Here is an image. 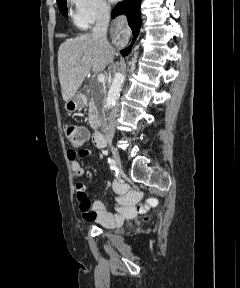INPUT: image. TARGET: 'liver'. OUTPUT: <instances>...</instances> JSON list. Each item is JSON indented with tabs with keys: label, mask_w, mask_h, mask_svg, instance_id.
I'll return each instance as SVG.
<instances>
[{
	"label": "liver",
	"mask_w": 240,
	"mask_h": 288,
	"mask_svg": "<svg viewBox=\"0 0 240 288\" xmlns=\"http://www.w3.org/2000/svg\"><path fill=\"white\" fill-rule=\"evenodd\" d=\"M115 49L87 33L67 39L58 51V72L65 102L71 99L92 69L98 73L112 62Z\"/></svg>",
	"instance_id": "liver-1"
}]
</instances>
